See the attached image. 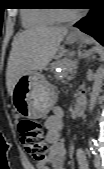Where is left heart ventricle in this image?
Here are the masks:
<instances>
[{
    "label": "left heart ventricle",
    "mask_w": 104,
    "mask_h": 169,
    "mask_svg": "<svg viewBox=\"0 0 104 169\" xmlns=\"http://www.w3.org/2000/svg\"><path fill=\"white\" fill-rule=\"evenodd\" d=\"M62 12L66 15H70L73 14L75 12V10H71V9H62Z\"/></svg>",
    "instance_id": "1"
}]
</instances>
